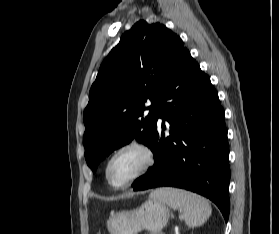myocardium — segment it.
<instances>
[{"label": "myocardium", "instance_id": "myocardium-1", "mask_svg": "<svg viewBox=\"0 0 279 234\" xmlns=\"http://www.w3.org/2000/svg\"><path fill=\"white\" fill-rule=\"evenodd\" d=\"M127 151H137L142 155L143 161L141 166L124 182L114 183L110 179L109 171L113 161L121 154ZM155 162V153L153 149L140 140H130L119 146L109 157L105 166V178L110 186L115 189H124L132 185L135 181L144 176Z\"/></svg>", "mask_w": 279, "mask_h": 234}]
</instances>
